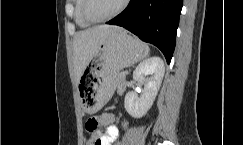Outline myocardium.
Listing matches in <instances>:
<instances>
[{
  "mask_svg": "<svg viewBox=\"0 0 243 145\" xmlns=\"http://www.w3.org/2000/svg\"><path fill=\"white\" fill-rule=\"evenodd\" d=\"M129 2H130V0H123L122 4L115 12H113L112 14H110L107 17H104L101 19H95V18H92L89 13L90 0H83L82 14H83L84 19L87 22H89L90 24L106 22V21H109V20L113 19L114 17L118 16L119 14H121L127 8Z\"/></svg>",
  "mask_w": 243,
  "mask_h": 145,
  "instance_id": "1",
  "label": "myocardium"
}]
</instances>
